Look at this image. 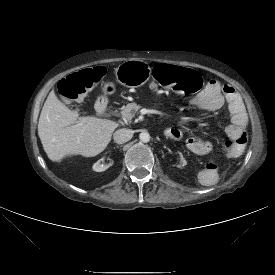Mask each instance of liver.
<instances>
[{
	"label": "liver",
	"instance_id": "liver-1",
	"mask_svg": "<svg viewBox=\"0 0 275 275\" xmlns=\"http://www.w3.org/2000/svg\"><path fill=\"white\" fill-rule=\"evenodd\" d=\"M117 122L96 117H80L52 90L41 110L38 135L48 158L60 162L66 156L93 157L105 150Z\"/></svg>",
	"mask_w": 275,
	"mask_h": 275
}]
</instances>
